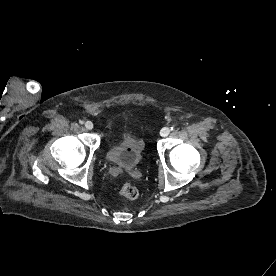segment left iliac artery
Segmentation results:
<instances>
[{"label":"left iliac artery","mask_w":276,"mask_h":276,"mask_svg":"<svg viewBox=\"0 0 276 276\" xmlns=\"http://www.w3.org/2000/svg\"><path fill=\"white\" fill-rule=\"evenodd\" d=\"M175 128L174 127H171V130H174Z\"/></svg>","instance_id":"obj_1"}]
</instances>
